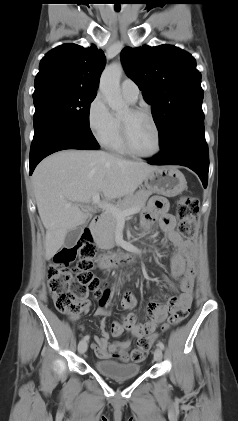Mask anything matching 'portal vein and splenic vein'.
Returning a JSON list of instances; mask_svg holds the SVG:
<instances>
[{
  "mask_svg": "<svg viewBox=\"0 0 238 421\" xmlns=\"http://www.w3.org/2000/svg\"><path fill=\"white\" fill-rule=\"evenodd\" d=\"M92 202L94 204H97L99 207L103 208L104 210H106L108 212H111L118 220H123L126 216L139 212V210L136 209V208L119 210L118 208H116V206H114L110 203L101 202L99 193H95L93 195ZM71 206H72L71 203L66 204V207H71Z\"/></svg>",
  "mask_w": 238,
  "mask_h": 421,
  "instance_id": "1",
  "label": "portal vein and splenic vein"
}]
</instances>
